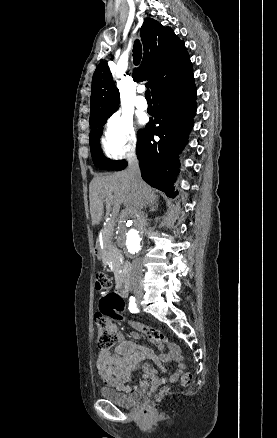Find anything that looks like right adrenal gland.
<instances>
[{
	"label": "right adrenal gland",
	"instance_id": "2a0ac1e0",
	"mask_svg": "<svg viewBox=\"0 0 277 438\" xmlns=\"http://www.w3.org/2000/svg\"><path fill=\"white\" fill-rule=\"evenodd\" d=\"M158 206H159V204H157V202H155L154 206H151V208H149V212H157Z\"/></svg>",
	"mask_w": 277,
	"mask_h": 438
}]
</instances>
